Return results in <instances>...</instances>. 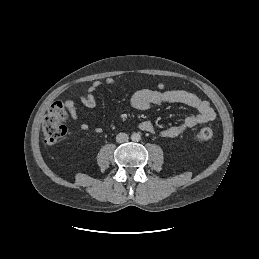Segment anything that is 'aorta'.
I'll return each mask as SVG.
<instances>
[{
    "label": "aorta",
    "mask_w": 259,
    "mask_h": 259,
    "mask_svg": "<svg viewBox=\"0 0 259 259\" xmlns=\"http://www.w3.org/2000/svg\"><path fill=\"white\" fill-rule=\"evenodd\" d=\"M131 139L133 141H139L141 139V136L138 133H133L132 136H131Z\"/></svg>",
    "instance_id": "1"
}]
</instances>
